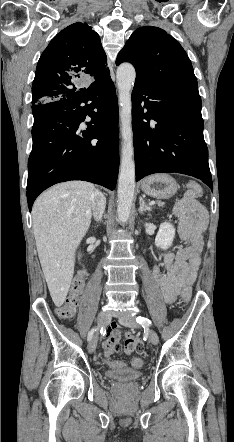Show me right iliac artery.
I'll return each mask as SVG.
<instances>
[{"mask_svg": "<svg viewBox=\"0 0 234 442\" xmlns=\"http://www.w3.org/2000/svg\"><path fill=\"white\" fill-rule=\"evenodd\" d=\"M95 330H96V329L93 328V329L88 333V337H87L88 341H90V340L92 339Z\"/></svg>", "mask_w": 234, "mask_h": 442, "instance_id": "82829eb1", "label": "right iliac artery"}]
</instances>
